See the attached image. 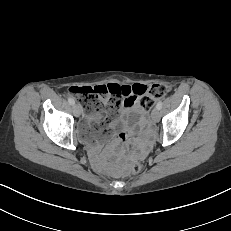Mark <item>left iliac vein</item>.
Masks as SVG:
<instances>
[{
    "label": "left iliac vein",
    "mask_w": 231,
    "mask_h": 231,
    "mask_svg": "<svg viewBox=\"0 0 231 231\" xmlns=\"http://www.w3.org/2000/svg\"><path fill=\"white\" fill-rule=\"evenodd\" d=\"M151 117H152L153 121H155V122L159 121V119H160V111H159V109L157 107L152 110Z\"/></svg>",
    "instance_id": "left-iliac-vein-1"
}]
</instances>
